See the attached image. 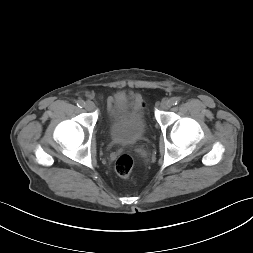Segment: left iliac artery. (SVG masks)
I'll return each mask as SVG.
<instances>
[{"label": "left iliac artery", "mask_w": 253, "mask_h": 253, "mask_svg": "<svg viewBox=\"0 0 253 253\" xmlns=\"http://www.w3.org/2000/svg\"><path fill=\"white\" fill-rule=\"evenodd\" d=\"M179 102H180L179 97H173V98L170 99L171 105H177Z\"/></svg>", "instance_id": "44dca946"}]
</instances>
